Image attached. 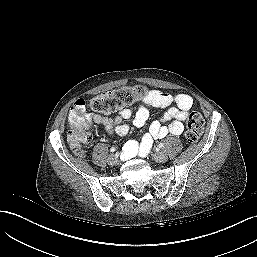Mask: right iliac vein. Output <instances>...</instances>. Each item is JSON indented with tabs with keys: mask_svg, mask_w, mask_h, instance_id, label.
<instances>
[{
	"mask_svg": "<svg viewBox=\"0 0 257 257\" xmlns=\"http://www.w3.org/2000/svg\"><path fill=\"white\" fill-rule=\"evenodd\" d=\"M108 162L110 164H115L118 162V155L117 154H111L109 157H108Z\"/></svg>",
	"mask_w": 257,
	"mask_h": 257,
	"instance_id": "obj_1",
	"label": "right iliac vein"
}]
</instances>
